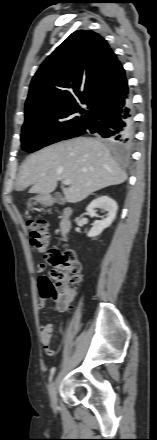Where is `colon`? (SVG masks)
Here are the masks:
<instances>
[{"instance_id":"1","label":"colon","mask_w":157,"mask_h":440,"mask_svg":"<svg viewBox=\"0 0 157 440\" xmlns=\"http://www.w3.org/2000/svg\"><path fill=\"white\" fill-rule=\"evenodd\" d=\"M28 226L32 247L52 266L49 276L40 279L41 295L53 301L58 310L67 311L71 308L74 297L71 286L81 278V264L71 249L48 248L50 235L44 220H29Z\"/></svg>"}]
</instances>
